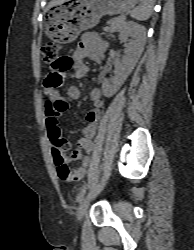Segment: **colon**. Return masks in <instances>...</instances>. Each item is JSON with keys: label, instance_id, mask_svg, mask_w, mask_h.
Segmentation results:
<instances>
[{"label": "colon", "instance_id": "colon-1", "mask_svg": "<svg viewBox=\"0 0 194 250\" xmlns=\"http://www.w3.org/2000/svg\"><path fill=\"white\" fill-rule=\"evenodd\" d=\"M60 49L61 45L57 42L47 43L41 48L43 61L50 64L54 69V71L47 76V85L53 89L59 88L62 85L64 80L63 70L67 63L63 57H59ZM58 105L61 107L65 106L62 102L58 103ZM55 106L56 103L50 98L47 102V110L49 111ZM50 140L52 143L53 158L57 168V173L61 179L69 180L71 172L64 161V153L69 149L70 144L60 135H54Z\"/></svg>", "mask_w": 194, "mask_h": 250}]
</instances>
